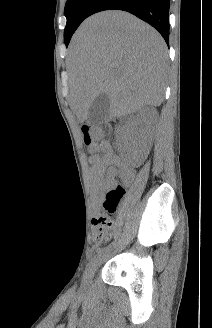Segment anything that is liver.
Masks as SVG:
<instances>
[{
    "label": "liver",
    "instance_id": "1",
    "mask_svg": "<svg viewBox=\"0 0 212 328\" xmlns=\"http://www.w3.org/2000/svg\"><path fill=\"white\" fill-rule=\"evenodd\" d=\"M69 103L83 123L101 93L109 114L119 118L146 105L159 106L167 71V47L150 25L123 11L87 18L70 42Z\"/></svg>",
    "mask_w": 212,
    "mask_h": 328
}]
</instances>
